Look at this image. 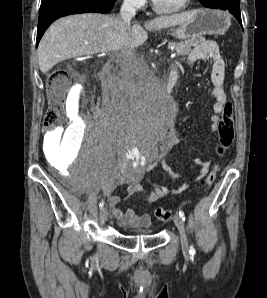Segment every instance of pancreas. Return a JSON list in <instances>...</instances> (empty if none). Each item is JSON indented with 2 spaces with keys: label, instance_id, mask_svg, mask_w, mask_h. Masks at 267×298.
<instances>
[{
  "label": "pancreas",
  "instance_id": "1",
  "mask_svg": "<svg viewBox=\"0 0 267 298\" xmlns=\"http://www.w3.org/2000/svg\"><path fill=\"white\" fill-rule=\"evenodd\" d=\"M199 40L196 37L182 42H171L170 46L174 48L178 55L185 56L191 52V47L197 45Z\"/></svg>",
  "mask_w": 267,
  "mask_h": 298
}]
</instances>
